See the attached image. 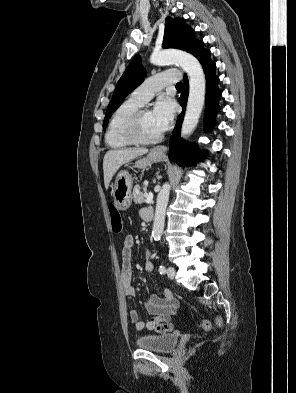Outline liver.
Returning <instances> with one entry per match:
<instances>
[{
	"instance_id": "1",
	"label": "liver",
	"mask_w": 296,
	"mask_h": 393,
	"mask_svg": "<svg viewBox=\"0 0 296 393\" xmlns=\"http://www.w3.org/2000/svg\"><path fill=\"white\" fill-rule=\"evenodd\" d=\"M148 152L146 148H127L109 150L103 159L104 184L108 189L109 183L117 170L125 163Z\"/></svg>"
}]
</instances>
